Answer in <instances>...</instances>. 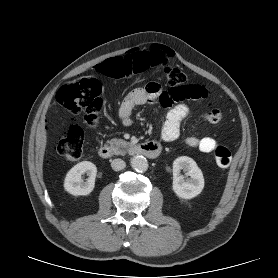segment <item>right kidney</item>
Segmentation results:
<instances>
[{
	"instance_id": "obj_1",
	"label": "right kidney",
	"mask_w": 278,
	"mask_h": 278,
	"mask_svg": "<svg viewBox=\"0 0 278 278\" xmlns=\"http://www.w3.org/2000/svg\"><path fill=\"white\" fill-rule=\"evenodd\" d=\"M85 173L88 175L86 181L82 177ZM96 174L97 168L92 162H80L68 171L64 180V188L74 196L88 195L95 187Z\"/></svg>"
}]
</instances>
